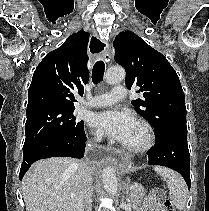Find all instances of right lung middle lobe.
I'll use <instances>...</instances> for the list:
<instances>
[{
  "instance_id": "dd1d6c3e",
  "label": "right lung middle lobe",
  "mask_w": 209,
  "mask_h": 211,
  "mask_svg": "<svg viewBox=\"0 0 209 211\" xmlns=\"http://www.w3.org/2000/svg\"><path fill=\"white\" fill-rule=\"evenodd\" d=\"M74 110L75 108H45L27 112L23 155L50 140L76 136L83 132L84 122L76 121Z\"/></svg>"
}]
</instances>
